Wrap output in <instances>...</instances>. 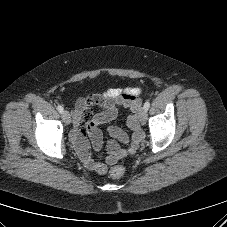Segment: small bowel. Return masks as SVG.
<instances>
[{
    "mask_svg": "<svg viewBox=\"0 0 227 227\" xmlns=\"http://www.w3.org/2000/svg\"><path fill=\"white\" fill-rule=\"evenodd\" d=\"M140 92L139 88H130L126 91L113 88L103 94H91L80 98L76 102L73 114L75 128L71 133V140L81 161L90 171L104 174L107 171V165L115 164L119 159L134 153L139 147L144 138L135 115L140 105L138 98ZM95 105L102 107L103 110L92 114L91 108ZM119 107H125L131 112L127 119L131 135L128 136L119 127H109L108 133L112 139L107 146L106 160L105 162L100 158L95 160L90 154L89 140L95 151L101 149L103 136L100 127L117 117ZM119 143L124 144L125 147H120Z\"/></svg>",
    "mask_w": 227,
    "mask_h": 227,
    "instance_id": "1",
    "label": "small bowel"
}]
</instances>
